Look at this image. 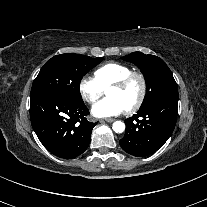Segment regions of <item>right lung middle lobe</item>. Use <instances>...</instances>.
Masks as SVG:
<instances>
[{"instance_id":"1","label":"right lung middle lobe","mask_w":207,"mask_h":207,"mask_svg":"<svg viewBox=\"0 0 207 207\" xmlns=\"http://www.w3.org/2000/svg\"><path fill=\"white\" fill-rule=\"evenodd\" d=\"M102 60L103 58H90L73 53L54 56L47 61L35 78L31 96L50 92L73 101L83 102L79 90L80 81L89 70Z\"/></svg>"}]
</instances>
